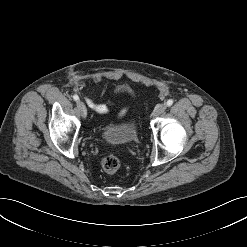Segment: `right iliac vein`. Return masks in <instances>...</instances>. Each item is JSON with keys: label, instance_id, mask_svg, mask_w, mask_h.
<instances>
[{"label": "right iliac vein", "instance_id": "obj_1", "mask_svg": "<svg viewBox=\"0 0 247 247\" xmlns=\"http://www.w3.org/2000/svg\"><path fill=\"white\" fill-rule=\"evenodd\" d=\"M77 107L80 110L81 115L83 117H86V115H87V108H86L85 104L83 102H81V101H78L77 102Z\"/></svg>", "mask_w": 247, "mask_h": 247}]
</instances>
